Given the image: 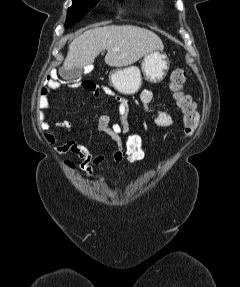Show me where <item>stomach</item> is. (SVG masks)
I'll use <instances>...</instances> for the list:
<instances>
[{
    "mask_svg": "<svg viewBox=\"0 0 240 287\" xmlns=\"http://www.w3.org/2000/svg\"><path fill=\"white\" fill-rule=\"evenodd\" d=\"M141 70L146 81L160 83L169 70V60L162 50H155L145 55ZM111 85L120 93L132 95L142 85L141 71L136 66L115 69L109 75Z\"/></svg>",
    "mask_w": 240,
    "mask_h": 287,
    "instance_id": "1",
    "label": "stomach"
}]
</instances>
